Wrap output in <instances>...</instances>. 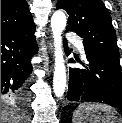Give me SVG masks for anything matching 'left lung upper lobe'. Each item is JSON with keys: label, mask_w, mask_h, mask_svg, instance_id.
<instances>
[{"label": "left lung upper lobe", "mask_w": 122, "mask_h": 123, "mask_svg": "<svg viewBox=\"0 0 122 123\" xmlns=\"http://www.w3.org/2000/svg\"><path fill=\"white\" fill-rule=\"evenodd\" d=\"M56 7L68 13L66 30L83 38L84 47L119 58L112 19L102 0H58Z\"/></svg>", "instance_id": "1"}]
</instances>
